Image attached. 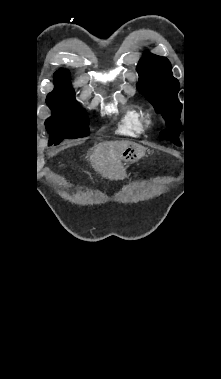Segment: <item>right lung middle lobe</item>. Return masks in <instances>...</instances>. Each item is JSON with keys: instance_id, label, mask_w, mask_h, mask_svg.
I'll list each match as a JSON object with an SVG mask.
<instances>
[{"instance_id": "right-lung-middle-lobe-1", "label": "right lung middle lobe", "mask_w": 221, "mask_h": 379, "mask_svg": "<svg viewBox=\"0 0 221 379\" xmlns=\"http://www.w3.org/2000/svg\"><path fill=\"white\" fill-rule=\"evenodd\" d=\"M53 115L45 122L51 134L49 145H57L64 138L75 139L89 135L88 118L76 101L47 102Z\"/></svg>"}]
</instances>
